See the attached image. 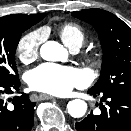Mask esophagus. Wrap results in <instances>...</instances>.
Wrapping results in <instances>:
<instances>
[{"instance_id": "1", "label": "esophagus", "mask_w": 131, "mask_h": 131, "mask_svg": "<svg viewBox=\"0 0 131 131\" xmlns=\"http://www.w3.org/2000/svg\"><path fill=\"white\" fill-rule=\"evenodd\" d=\"M39 100H49V99H55V97L47 94H39L38 95Z\"/></svg>"}]
</instances>
